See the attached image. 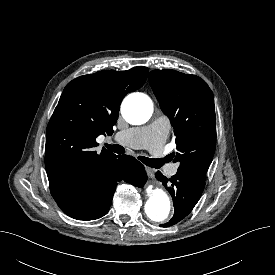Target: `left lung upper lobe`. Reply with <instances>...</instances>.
Returning <instances> with one entry per match:
<instances>
[{
  "mask_svg": "<svg viewBox=\"0 0 275 275\" xmlns=\"http://www.w3.org/2000/svg\"><path fill=\"white\" fill-rule=\"evenodd\" d=\"M149 82L174 128L178 172L206 178L216 147L214 96L204 80L175 70H153Z\"/></svg>",
  "mask_w": 275,
  "mask_h": 275,
  "instance_id": "left-lung-upper-lobe-1",
  "label": "left lung upper lobe"
}]
</instances>
